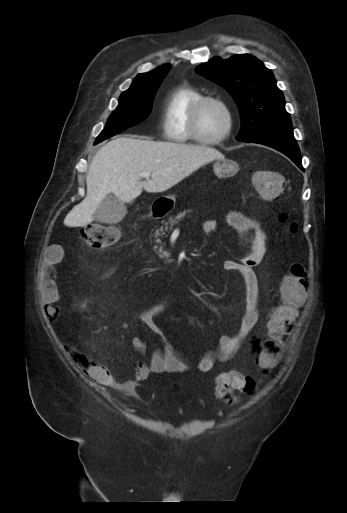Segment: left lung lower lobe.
Wrapping results in <instances>:
<instances>
[{
    "label": "left lung lower lobe",
    "mask_w": 347,
    "mask_h": 513,
    "mask_svg": "<svg viewBox=\"0 0 347 513\" xmlns=\"http://www.w3.org/2000/svg\"><path fill=\"white\" fill-rule=\"evenodd\" d=\"M274 148L289 157L301 170L304 171L301 162L300 150L293 136L292 128H280L267 131L247 141Z\"/></svg>",
    "instance_id": "obj_1"
}]
</instances>
